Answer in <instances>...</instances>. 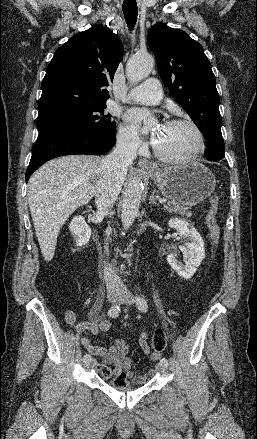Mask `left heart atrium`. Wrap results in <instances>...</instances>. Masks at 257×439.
I'll return each mask as SVG.
<instances>
[{
	"label": "left heart atrium",
	"mask_w": 257,
	"mask_h": 439,
	"mask_svg": "<svg viewBox=\"0 0 257 439\" xmlns=\"http://www.w3.org/2000/svg\"><path fill=\"white\" fill-rule=\"evenodd\" d=\"M147 117V112L140 109H133L128 113V119L134 124H139Z\"/></svg>",
	"instance_id": "left-heart-atrium-1"
}]
</instances>
